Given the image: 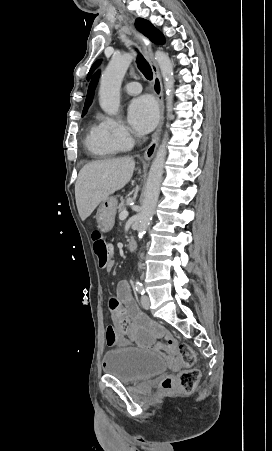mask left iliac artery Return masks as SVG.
Wrapping results in <instances>:
<instances>
[{"instance_id":"1","label":"left iliac artery","mask_w":272,"mask_h":451,"mask_svg":"<svg viewBox=\"0 0 272 451\" xmlns=\"http://www.w3.org/2000/svg\"><path fill=\"white\" fill-rule=\"evenodd\" d=\"M135 289L141 295H143L145 293L143 284L140 281L135 282Z\"/></svg>"}]
</instances>
